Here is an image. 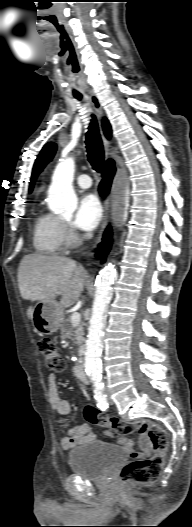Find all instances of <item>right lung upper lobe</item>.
Segmentation results:
<instances>
[{
  "mask_svg": "<svg viewBox=\"0 0 192 527\" xmlns=\"http://www.w3.org/2000/svg\"><path fill=\"white\" fill-rule=\"evenodd\" d=\"M103 130L107 138H110L111 127L107 119H103ZM55 151H56V144L53 142L47 143L41 150L40 154L38 155V158L36 159L34 167H33L32 178L30 181V189H29L30 191H32L33 189V185H34L37 175L42 171L44 166L52 159V157L55 154ZM108 161H111V160H108Z\"/></svg>",
  "mask_w": 192,
  "mask_h": 527,
  "instance_id": "right-lung-upper-lobe-1",
  "label": "right lung upper lobe"
}]
</instances>
